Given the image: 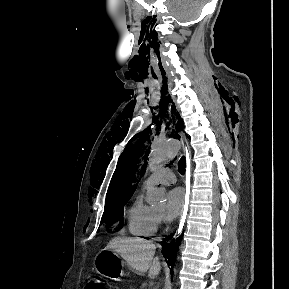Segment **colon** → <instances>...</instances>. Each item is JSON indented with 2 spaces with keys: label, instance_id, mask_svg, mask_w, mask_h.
Instances as JSON below:
<instances>
[{
  "label": "colon",
  "instance_id": "colon-1",
  "mask_svg": "<svg viewBox=\"0 0 289 289\" xmlns=\"http://www.w3.org/2000/svg\"><path fill=\"white\" fill-rule=\"evenodd\" d=\"M85 289H105V283L100 278H91L87 282Z\"/></svg>",
  "mask_w": 289,
  "mask_h": 289
}]
</instances>
